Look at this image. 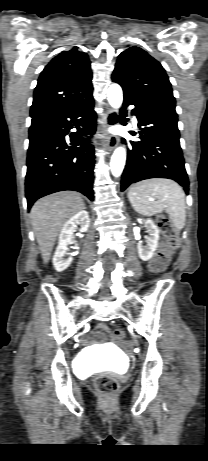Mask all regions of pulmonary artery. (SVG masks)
Instances as JSON below:
<instances>
[{
	"label": "pulmonary artery",
	"mask_w": 208,
	"mask_h": 461,
	"mask_svg": "<svg viewBox=\"0 0 208 461\" xmlns=\"http://www.w3.org/2000/svg\"><path fill=\"white\" fill-rule=\"evenodd\" d=\"M133 122L137 124V119L135 117L133 118Z\"/></svg>",
	"instance_id": "obj_1"
}]
</instances>
